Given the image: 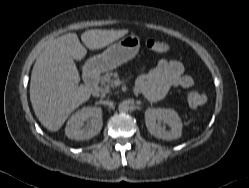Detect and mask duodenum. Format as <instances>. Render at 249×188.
I'll return each mask as SVG.
<instances>
[{
	"mask_svg": "<svg viewBox=\"0 0 249 188\" xmlns=\"http://www.w3.org/2000/svg\"><path fill=\"white\" fill-rule=\"evenodd\" d=\"M86 84L93 96L99 94V75L94 70H87L85 74Z\"/></svg>",
	"mask_w": 249,
	"mask_h": 188,
	"instance_id": "obj_1",
	"label": "duodenum"
}]
</instances>
